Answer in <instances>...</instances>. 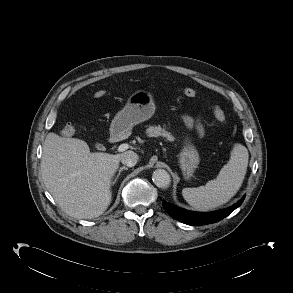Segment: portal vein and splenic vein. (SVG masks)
Segmentation results:
<instances>
[{
  "mask_svg": "<svg viewBox=\"0 0 293 293\" xmlns=\"http://www.w3.org/2000/svg\"><path fill=\"white\" fill-rule=\"evenodd\" d=\"M129 148V145L127 143L121 144L118 148L117 151L118 152H124L125 150H127Z\"/></svg>",
  "mask_w": 293,
  "mask_h": 293,
  "instance_id": "18ae733b",
  "label": "portal vein and splenic vein"
}]
</instances>
